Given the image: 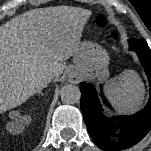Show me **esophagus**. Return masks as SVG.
Segmentation results:
<instances>
[{"instance_id": "obj_1", "label": "esophagus", "mask_w": 151, "mask_h": 151, "mask_svg": "<svg viewBox=\"0 0 151 151\" xmlns=\"http://www.w3.org/2000/svg\"><path fill=\"white\" fill-rule=\"evenodd\" d=\"M68 81H69L70 83H72V84L78 83L77 78H75L74 76H73V77H70Z\"/></svg>"}]
</instances>
